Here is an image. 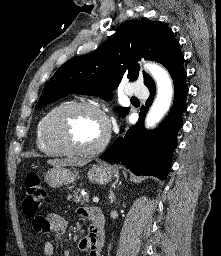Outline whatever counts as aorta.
Instances as JSON below:
<instances>
[{"mask_svg":"<svg viewBox=\"0 0 221 256\" xmlns=\"http://www.w3.org/2000/svg\"><path fill=\"white\" fill-rule=\"evenodd\" d=\"M145 68L150 72L156 81L157 96L145 119V126H155L168 111L174 93L173 84L169 74L160 66L154 63H147Z\"/></svg>","mask_w":221,"mask_h":256,"instance_id":"762f6f07","label":"aorta"}]
</instances>
